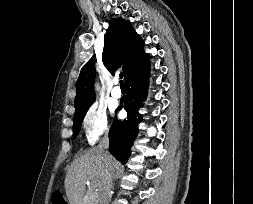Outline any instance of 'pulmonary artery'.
<instances>
[{
	"label": "pulmonary artery",
	"mask_w": 253,
	"mask_h": 204,
	"mask_svg": "<svg viewBox=\"0 0 253 204\" xmlns=\"http://www.w3.org/2000/svg\"><path fill=\"white\" fill-rule=\"evenodd\" d=\"M117 81H115V86H114V88L112 89V96L114 97V98H120L121 97V95H122V92H121V89H120V87L117 85Z\"/></svg>",
	"instance_id": "obj_1"
}]
</instances>
